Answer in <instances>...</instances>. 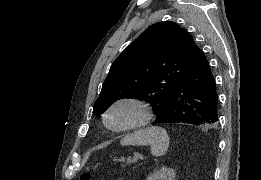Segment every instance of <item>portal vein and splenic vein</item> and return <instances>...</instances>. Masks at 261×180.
<instances>
[{"instance_id": "obj_1", "label": "portal vein and splenic vein", "mask_w": 261, "mask_h": 180, "mask_svg": "<svg viewBox=\"0 0 261 180\" xmlns=\"http://www.w3.org/2000/svg\"><path fill=\"white\" fill-rule=\"evenodd\" d=\"M132 157L134 161H139L141 158V153H133Z\"/></svg>"}]
</instances>
